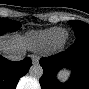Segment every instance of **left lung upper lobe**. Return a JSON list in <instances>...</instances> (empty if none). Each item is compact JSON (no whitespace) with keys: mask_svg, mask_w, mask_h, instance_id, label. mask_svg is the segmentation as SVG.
<instances>
[{"mask_svg":"<svg viewBox=\"0 0 89 89\" xmlns=\"http://www.w3.org/2000/svg\"><path fill=\"white\" fill-rule=\"evenodd\" d=\"M72 28L74 29L75 36H88L89 37V25L79 21V20H74V21H69L68 22Z\"/></svg>","mask_w":89,"mask_h":89,"instance_id":"left-lung-upper-lobe-1","label":"left lung upper lobe"}]
</instances>
